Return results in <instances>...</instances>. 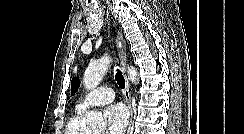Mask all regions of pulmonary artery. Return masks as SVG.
<instances>
[{
	"instance_id": "pulmonary-artery-1",
	"label": "pulmonary artery",
	"mask_w": 244,
	"mask_h": 134,
	"mask_svg": "<svg viewBox=\"0 0 244 134\" xmlns=\"http://www.w3.org/2000/svg\"><path fill=\"white\" fill-rule=\"evenodd\" d=\"M115 94L112 88L103 86L87 93L77 104V109L85 111L94 106L105 105L112 102Z\"/></svg>"
}]
</instances>
